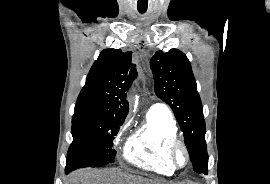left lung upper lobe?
Segmentation results:
<instances>
[{
	"mask_svg": "<svg viewBox=\"0 0 270 184\" xmlns=\"http://www.w3.org/2000/svg\"><path fill=\"white\" fill-rule=\"evenodd\" d=\"M155 93L174 111L184 134L193 170L207 174L208 154L205 142L203 108L191 65L177 49L158 51L150 60Z\"/></svg>",
	"mask_w": 270,
	"mask_h": 184,
	"instance_id": "1",
	"label": "left lung upper lobe"
}]
</instances>
